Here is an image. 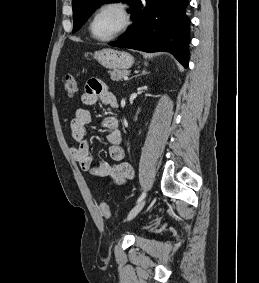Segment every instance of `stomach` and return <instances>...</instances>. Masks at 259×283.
I'll list each match as a JSON object with an SVG mask.
<instances>
[{"label": "stomach", "mask_w": 259, "mask_h": 283, "mask_svg": "<svg viewBox=\"0 0 259 283\" xmlns=\"http://www.w3.org/2000/svg\"><path fill=\"white\" fill-rule=\"evenodd\" d=\"M93 57L108 69H128L134 64V58L129 53L109 48L95 51Z\"/></svg>", "instance_id": "obj_1"}]
</instances>
